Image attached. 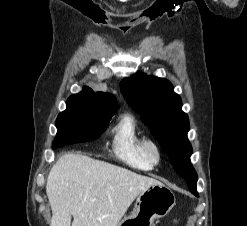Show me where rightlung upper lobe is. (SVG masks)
<instances>
[{"instance_id":"cb5924a9","label":"right lung upper lobe","mask_w":247,"mask_h":226,"mask_svg":"<svg viewBox=\"0 0 247 226\" xmlns=\"http://www.w3.org/2000/svg\"><path fill=\"white\" fill-rule=\"evenodd\" d=\"M89 100L94 101L100 108L101 115H113L117 110V101L114 95L104 92H94L91 88L85 86L79 94Z\"/></svg>"}]
</instances>
